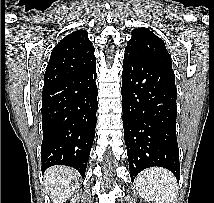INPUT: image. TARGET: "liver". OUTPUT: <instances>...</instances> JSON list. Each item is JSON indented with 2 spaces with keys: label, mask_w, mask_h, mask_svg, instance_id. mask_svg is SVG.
Masks as SVG:
<instances>
[{
  "label": "liver",
  "mask_w": 214,
  "mask_h": 203,
  "mask_svg": "<svg viewBox=\"0 0 214 203\" xmlns=\"http://www.w3.org/2000/svg\"><path fill=\"white\" fill-rule=\"evenodd\" d=\"M80 175L66 166H53L44 175V186L51 197L52 203H63L72 196L75 187L72 181L78 180Z\"/></svg>",
  "instance_id": "obj_1"
}]
</instances>
